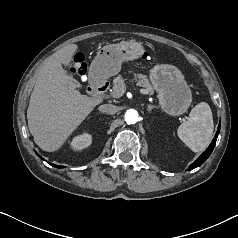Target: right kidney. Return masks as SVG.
Instances as JSON below:
<instances>
[{"label": "right kidney", "instance_id": "1", "mask_svg": "<svg viewBox=\"0 0 238 238\" xmlns=\"http://www.w3.org/2000/svg\"><path fill=\"white\" fill-rule=\"evenodd\" d=\"M92 143V137L88 133H84L74 137L71 141V147L74 150H82L87 148Z\"/></svg>", "mask_w": 238, "mask_h": 238}]
</instances>
